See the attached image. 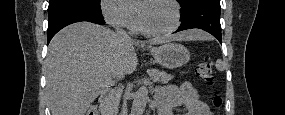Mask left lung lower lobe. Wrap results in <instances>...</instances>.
<instances>
[{"label":"left lung lower lobe","instance_id":"left-lung-lower-lobe-1","mask_svg":"<svg viewBox=\"0 0 285 115\" xmlns=\"http://www.w3.org/2000/svg\"><path fill=\"white\" fill-rule=\"evenodd\" d=\"M181 21L176 32L199 28L209 32L222 43L219 0L194 1L181 12Z\"/></svg>","mask_w":285,"mask_h":115}]
</instances>
